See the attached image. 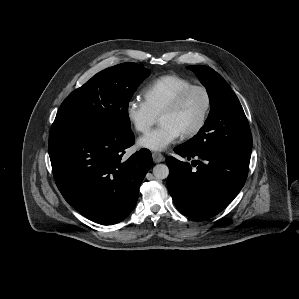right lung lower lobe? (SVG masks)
I'll return each mask as SVG.
<instances>
[{"instance_id":"98d812e1","label":"right lung lower lobe","mask_w":299,"mask_h":299,"mask_svg":"<svg viewBox=\"0 0 299 299\" xmlns=\"http://www.w3.org/2000/svg\"><path fill=\"white\" fill-rule=\"evenodd\" d=\"M133 143L131 129L50 131L53 175L65 200L96 223L112 225L124 220L134 209L140 184L153 164L147 149L122 160Z\"/></svg>"}]
</instances>
